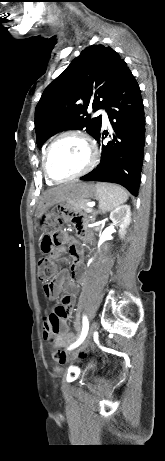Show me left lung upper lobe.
I'll return each instance as SVG.
<instances>
[{"instance_id":"obj_1","label":"left lung upper lobe","mask_w":165,"mask_h":461,"mask_svg":"<svg viewBox=\"0 0 165 461\" xmlns=\"http://www.w3.org/2000/svg\"><path fill=\"white\" fill-rule=\"evenodd\" d=\"M126 62L110 47L92 45L44 90L35 110L37 144L69 129H86L94 138L100 133L101 116L91 119L87 109L106 107L119 86Z\"/></svg>"}]
</instances>
